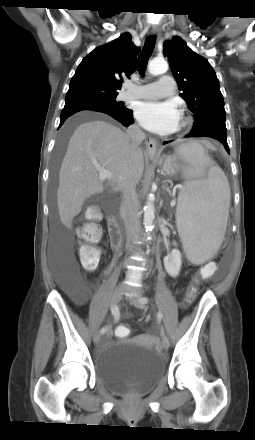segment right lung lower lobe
<instances>
[{
	"label": "right lung lower lobe",
	"mask_w": 255,
	"mask_h": 440,
	"mask_svg": "<svg viewBox=\"0 0 255 440\" xmlns=\"http://www.w3.org/2000/svg\"><path fill=\"white\" fill-rule=\"evenodd\" d=\"M84 110H91V111L108 114L111 117L118 120L126 127L133 123L132 110H129L125 107L118 109L101 102L90 101V100H78V101L65 103V106L61 112V120L59 127L63 125L64 121L69 116L75 114L76 112L84 111Z\"/></svg>",
	"instance_id": "98d812e1"
}]
</instances>
